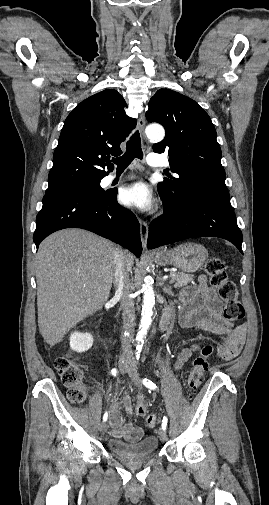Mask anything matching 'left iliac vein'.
I'll list each match as a JSON object with an SVG mask.
<instances>
[{
	"label": "left iliac vein",
	"instance_id": "1",
	"mask_svg": "<svg viewBox=\"0 0 269 505\" xmlns=\"http://www.w3.org/2000/svg\"><path fill=\"white\" fill-rule=\"evenodd\" d=\"M123 368H124L125 372H127L128 375L130 376L134 385L137 386L138 388H141V382H140L139 375H138L136 367L131 359H129L128 362L124 364ZM159 437L162 442H166L168 440V436L164 430H161L159 432Z\"/></svg>",
	"mask_w": 269,
	"mask_h": 505
}]
</instances>
